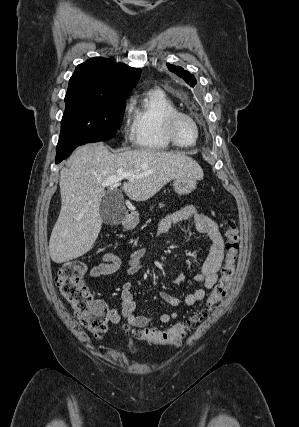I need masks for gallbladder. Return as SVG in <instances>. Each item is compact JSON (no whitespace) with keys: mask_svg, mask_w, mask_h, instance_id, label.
Segmentation results:
<instances>
[{"mask_svg":"<svg viewBox=\"0 0 299 427\" xmlns=\"http://www.w3.org/2000/svg\"><path fill=\"white\" fill-rule=\"evenodd\" d=\"M99 213L102 222L107 225H118L123 222L126 207L121 191H107L99 204Z\"/></svg>","mask_w":299,"mask_h":427,"instance_id":"bac80fb5","label":"gallbladder"}]
</instances>
